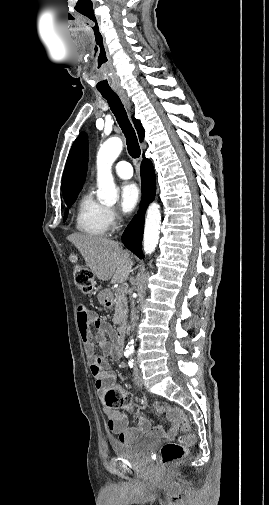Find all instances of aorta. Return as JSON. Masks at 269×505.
<instances>
[{
    "mask_svg": "<svg viewBox=\"0 0 269 505\" xmlns=\"http://www.w3.org/2000/svg\"><path fill=\"white\" fill-rule=\"evenodd\" d=\"M123 148V142L119 137L107 139L101 146L97 154V185L98 199L106 204H115L118 199V190L115 186L111 173V167ZM158 203L149 205L146 217L143 236V250L145 254H152L158 244L160 234L161 214ZM133 342L126 346L127 350H133Z\"/></svg>",
    "mask_w": 269,
    "mask_h": 505,
    "instance_id": "obj_1",
    "label": "aorta"
}]
</instances>
